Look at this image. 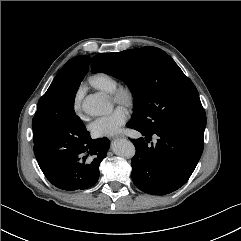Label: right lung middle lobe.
Here are the masks:
<instances>
[{"label": "right lung middle lobe", "instance_id": "dd1d6c3e", "mask_svg": "<svg viewBox=\"0 0 241 241\" xmlns=\"http://www.w3.org/2000/svg\"><path fill=\"white\" fill-rule=\"evenodd\" d=\"M79 86L73 78H54L38 102L32 120L33 133L52 150L76 146L89 133L74 111Z\"/></svg>", "mask_w": 241, "mask_h": 241}]
</instances>
